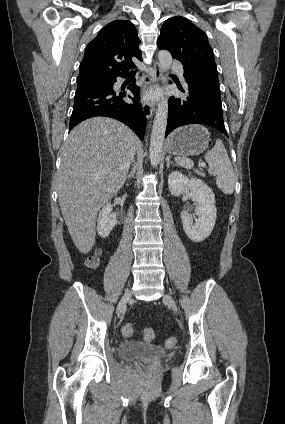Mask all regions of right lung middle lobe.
Masks as SVG:
<instances>
[{
	"label": "right lung middle lobe",
	"instance_id": "1",
	"mask_svg": "<svg viewBox=\"0 0 285 424\" xmlns=\"http://www.w3.org/2000/svg\"><path fill=\"white\" fill-rule=\"evenodd\" d=\"M107 83H109V81H107V82H95V83H89V84L77 85V88H78V87H83V86L98 85V84H107Z\"/></svg>",
	"mask_w": 285,
	"mask_h": 424
}]
</instances>
